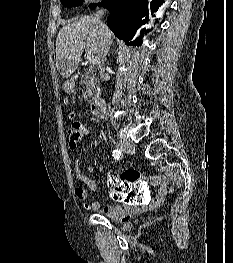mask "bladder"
Segmentation results:
<instances>
[{
	"label": "bladder",
	"instance_id": "31cf9c89",
	"mask_svg": "<svg viewBox=\"0 0 233 263\" xmlns=\"http://www.w3.org/2000/svg\"><path fill=\"white\" fill-rule=\"evenodd\" d=\"M122 228H123L124 230H127V229L130 228V224H129V223H124V224L122 225Z\"/></svg>",
	"mask_w": 233,
	"mask_h": 263
}]
</instances>
